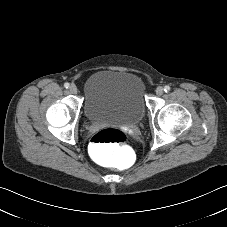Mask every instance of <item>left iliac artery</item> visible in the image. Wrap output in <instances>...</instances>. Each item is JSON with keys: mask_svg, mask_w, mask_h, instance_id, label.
Returning <instances> with one entry per match:
<instances>
[{"mask_svg": "<svg viewBox=\"0 0 227 227\" xmlns=\"http://www.w3.org/2000/svg\"><path fill=\"white\" fill-rule=\"evenodd\" d=\"M164 91H165V92H169V91H170V86L166 85V86L164 87Z\"/></svg>", "mask_w": 227, "mask_h": 227, "instance_id": "obj_1", "label": "left iliac artery"}]
</instances>
